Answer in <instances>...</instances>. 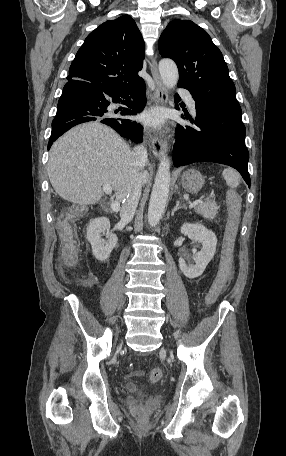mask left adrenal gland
I'll use <instances>...</instances> for the list:
<instances>
[{"mask_svg":"<svg viewBox=\"0 0 286 456\" xmlns=\"http://www.w3.org/2000/svg\"><path fill=\"white\" fill-rule=\"evenodd\" d=\"M182 208H185V206H181V205H180V201L178 200V201L176 202V206L174 207V209H173L172 212H171V215L173 216L174 213H175L178 209H182Z\"/></svg>","mask_w":286,"mask_h":456,"instance_id":"obj_1","label":"left adrenal gland"}]
</instances>
